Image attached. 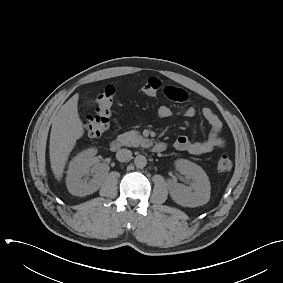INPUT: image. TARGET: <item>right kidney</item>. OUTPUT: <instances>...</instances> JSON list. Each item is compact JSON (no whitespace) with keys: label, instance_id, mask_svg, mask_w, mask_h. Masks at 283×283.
Here are the masks:
<instances>
[{"label":"right kidney","instance_id":"1","mask_svg":"<svg viewBox=\"0 0 283 283\" xmlns=\"http://www.w3.org/2000/svg\"><path fill=\"white\" fill-rule=\"evenodd\" d=\"M96 153L97 149L88 148L70 161L66 185L72 195L82 197L92 194L100 188L109 167L105 164L93 165Z\"/></svg>","mask_w":283,"mask_h":283}]
</instances>
